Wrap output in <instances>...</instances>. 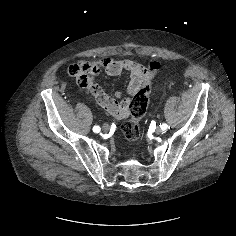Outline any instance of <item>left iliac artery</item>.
<instances>
[{"mask_svg":"<svg viewBox=\"0 0 236 236\" xmlns=\"http://www.w3.org/2000/svg\"><path fill=\"white\" fill-rule=\"evenodd\" d=\"M160 127L163 131H166L169 128V126L166 123H163L162 125H160Z\"/></svg>","mask_w":236,"mask_h":236,"instance_id":"1","label":"left iliac artery"}]
</instances>
